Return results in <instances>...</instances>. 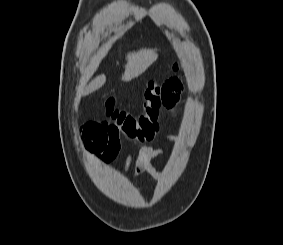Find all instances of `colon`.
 <instances>
[{"label":"colon","mask_w":283,"mask_h":245,"mask_svg":"<svg viewBox=\"0 0 283 245\" xmlns=\"http://www.w3.org/2000/svg\"><path fill=\"white\" fill-rule=\"evenodd\" d=\"M172 69L177 70L178 65L174 64ZM162 106V83L152 80L145 88L143 109L140 115L134 116L117 109L114 98L106 101L105 114L109 123L127 140L146 143L153 141L158 136V119Z\"/></svg>","instance_id":"obj_1"}]
</instances>
